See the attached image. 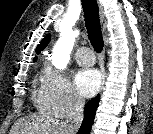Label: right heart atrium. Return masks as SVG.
I'll use <instances>...</instances> for the list:
<instances>
[{
  "mask_svg": "<svg viewBox=\"0 0 153 134\" xmlns=\"http://www.w3.org/2000/svg\"><path fill=\"white\" fill-rule=\"evenodd\" d=\"M37 105L45 113L64 118L79 112L84 100L64 74L47 67L40 78Z\"/></svg>",
  "mask_w": 153,
  "mask_h": 134,
  "instance_id": "right-heart-atrium-1",
  "label": "right heart atrium"
}]
</instances>
